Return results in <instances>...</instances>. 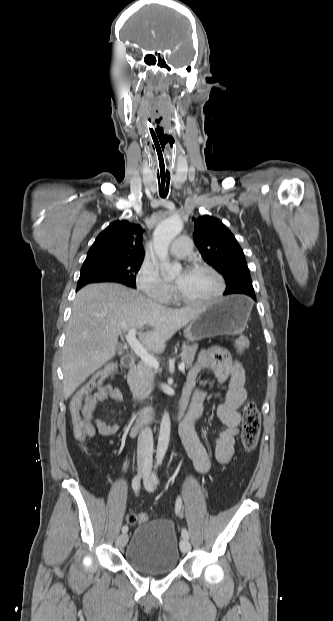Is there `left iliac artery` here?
Instances as JSON below:
<instances>
[{"mask_svg":"<svg viewBox=\"0 0 333 621\" xmlns=\"http://www.w3.org/2000/svg\"><path fill=\"white\" fill-rule=\"evenodd\" d=\"M162 461H163V456L162 455L158 456L156 464L154 466V471H153L152 476H151V481L149 482L147 480H144L145 487L148 490H152V488L154 486L159 484V479H158V476H157V469L162 464ZM181 508H182V499H181V497H178L177 500H176V504H175V511H176L177 515H180ZM181 535H182L183 539H186V540L189 539V533H188V531L185 528L182 529Z\"/></svg>","mask_w":333,"mask_h":621,"instance_id":"1","label":"left iliac artery"}]
</instances>
